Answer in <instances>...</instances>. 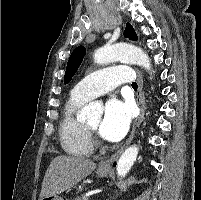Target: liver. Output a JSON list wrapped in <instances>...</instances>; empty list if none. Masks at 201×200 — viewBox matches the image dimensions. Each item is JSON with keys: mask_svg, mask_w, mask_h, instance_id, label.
I'll return each instance as SVG.
<instances>
[{"mask_svg": "<svg viewBox=\"0 0 201 200\" xmlns=\"http://www.w3.org/2000/svg\"><path fill=\"white\" fill-rule=\"evenodd\" d=\"M95 168L96 163L82 157H55L46 170L40 200L70 189L86 178Z\"/></svg>", "mask_w": 201, "mask_h": 200, "instance_id": "liver-1", "label": "liver"}]
</instances>
